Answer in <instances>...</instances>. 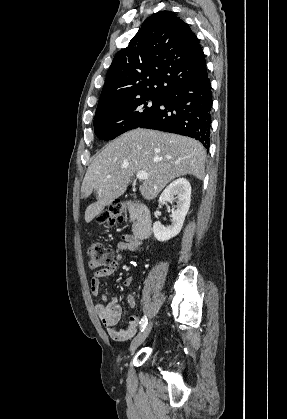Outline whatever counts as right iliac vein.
Masks as SVG:
<instances>
[{
	"label": "right iliac vein",
	"mask_w": 287,
	"mask_h": 419,
	"mask_svg": "<svg viewBox=\"0 0 287 419\" xmlns=\"http://www.w3.org/2000/svg\"><path fill=\"white\" fill-rule=\"evenodd\" d=\"M152 329V322H150L142 332H140L132 341L130 351L134 352L147 338Z\"/></svg>",
	"instance_id": "63e3f726"
}]
</instances>
